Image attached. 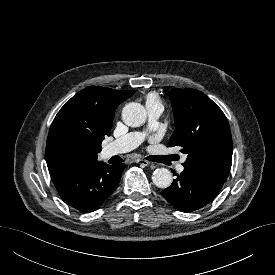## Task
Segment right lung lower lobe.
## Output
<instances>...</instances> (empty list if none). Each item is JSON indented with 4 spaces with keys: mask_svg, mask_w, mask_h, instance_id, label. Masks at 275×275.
<instances>
[{
    "mask_svg": "<svg viewBox=\"0 0 275 275\" xmlns=\"http://www.w3.org/2000/svg\"><path fill=\"white\" fill-rule=\"evenodd\" d=\"M126 166L98 162L59 172L52 176V181L68 205L81 212H92L117 188Z\"/></svg>",
    "mask_w": 275,
    "mask_h": 275,
    "instance_id": "1",
    "label": "right lung lower lobe"
}]
</instances>
